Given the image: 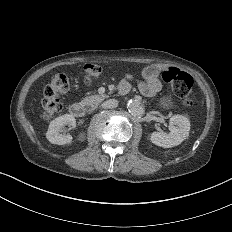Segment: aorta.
I'll return each instance as SVG.
<instances>
[{
	"label": "aorta",
	"instance_id": "aorta-1",
	"mask_svg": "<svg viewBox=\"0 0 232 232\" xmlns=\"http://www.w3.org/2000/svg\"><path fill=\"white\" fill-rule=\"evenodd\" d=\"M127 108L129 113L134 117L141 116L144 113V108L138 100H129L127 103Z\"/></svg>",
	"mask_w": 232,
	"mask_h": 232
}]
</instances>
